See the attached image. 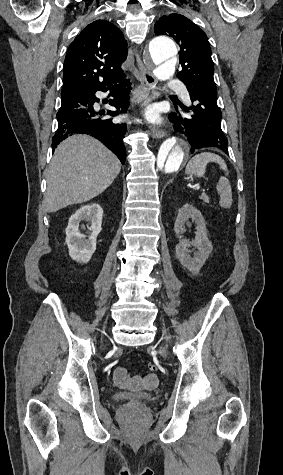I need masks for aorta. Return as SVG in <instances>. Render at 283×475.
<instances>
[{"mask_svg": "<svg viewBox=\"0 0 283 475\" xmlns=\"http://www.w3.org/2000/svg\"><path fill=\"white\" fill-rule=\"evenodd\" d=\"M149 52L153 63L157 66L155 75L159 80H167L175 72L177 47L168 37L154 38L149 44ZM190 146L182 137L166 139L158 149L154 164L153 178L160 181L178 172L188 159Z\"/></svg>", "mask_w": 283, "mask_h": 475, "instance_id": "1", "label": "aorta"}]
</instances>
